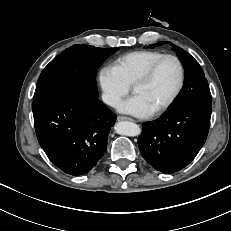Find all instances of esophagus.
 Wrapping results in <instances>:
<instances>
[{"label": "esophagus", "instance_id": "esophagus-1", "mask_svg": "<svg viewBox=\"0 0 231 231\" xmlns=\"http://www.w3.org/2000/svg\"><path fill=\"white\" fill-rule=\"evenodd\" d=\"M117 120H118V121H123V120L133 121L132 118L126 117V116H118Z\"/></svg>", "mask_w": 231, "mask_h": 231}]
</instances>
